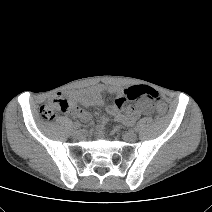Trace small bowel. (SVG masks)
I'll return each mask as SVG.
<instances>
[{
	"mask_svg": "<svg viewBox=\"0 0 212 212\" xmlns=\"http://www.w3.org/2000/svg\"><path fill=\"white\" fill-rule=\"evenodd\" d=\"M107 92L115 95V100L112 105L107 106L108 113L121 124L131 125L141 115H147L151 112V106L147 101L141 100L135 106L126 105V90H121L116 86H106L104 84H96L85 90L70 93L68 96L72 115L84 122L91 119L88 111L77 107L78 104L85 107L102 106L103 94ZM61 97V96H57ZM107 119L102 117L98 126L99 131H103Z\"/></svg>",
	"mask_w": 212,
	"mask_h": 212,
	"instance_id": "obj_1",
	"label": "small bowel"
}]
</instances>
